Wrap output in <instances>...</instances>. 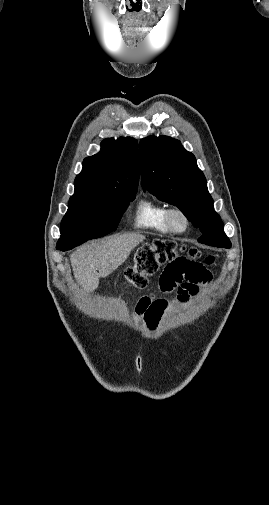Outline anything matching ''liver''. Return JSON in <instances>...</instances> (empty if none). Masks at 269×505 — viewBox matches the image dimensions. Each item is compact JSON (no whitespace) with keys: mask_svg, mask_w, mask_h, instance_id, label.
<instances>
[{"mask_svg":"<svg viewBox=\"0 0 269 505\" xmlns=\"http://www.w3.org/2000/svg\"><path fill=\"white\" fill-rule=\"evenodd\" d=\"M144 240V235L127 233L80 247L70 256L75 279L86 292L94 291L99 277L115 271Z\"/></svg>","mask_w":269,"mask_h":505,"instance_id":"obj_1","label":"liver"}]
</instances>
